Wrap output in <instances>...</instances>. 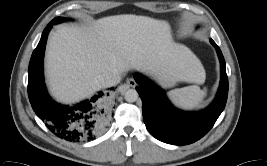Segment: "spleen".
I'll list each match as a JSON object with an SVG mask.
<instances>
[{
  "label": "spleen",
  "instance_id": "obj_1",
  "mask_svg": "<svg viewBox=\"0 0 267 166\" xmlns=\"http://www.w3.org/2000/svg\"><path fill=\"white\" fill-rule=\"evenodd\" d=\"M206 95V89L201 90L198 86H189L175 89L170 92V97L176 105L184 109H194L201 105Z\"/></svg>",
  "mask_w": 267,
  "mask_h": 166
}]
</instances>
